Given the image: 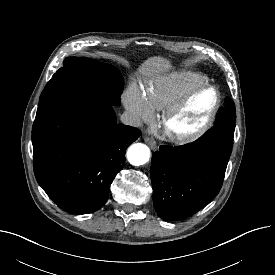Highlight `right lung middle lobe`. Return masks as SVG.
Returning <instances> with one entry per match:
<instances>
[{
    "label": "right lung middle lobe",
    "instance_id": "dd1d6c3e",
    "mask_svg": "<svg viewBox=\"0 0 275 275\" xmlns=\"http://www.w3.org/2000/svg\"><path fill=\"white\" fill-rule=\"evenodd\" d=\"M40 96L36 118L72 98L119 105L123 77L109 64L89 58H66Z\"/></svg>",
    "mask_w": 275,
    "mask_h": 275
}]
</instances>
